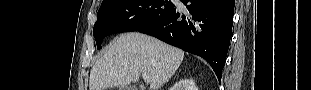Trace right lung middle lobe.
<instances>
[{
    "instance_id": "obj_1",
    "label": "right lung middle lobe",
    "mask_w": 311,
    "mask_h": 90,
    "mask_svg": "<svg viewBox=\"0 0 311 90\" xmlns=\"http://www.w3.org/2000/svg\"><path fill=\"white\" fill-rule=\"evenodd\" d=\"M173 8L167 0H106L98 10L93 28L98 49L106 36L138 31L161 20Z\"/></svg>"
}]
</instances>
